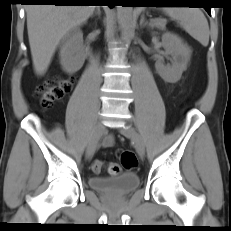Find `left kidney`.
<instances>
[{
    "label": "left kidney",
    "instance_id": "1",
    "mask_svg": "<svg viewBox=\"0 0 231 231\" xmlns=\"http://www.w3.org/2000/svg\"><path fill=\"white\" fill-rule=\"evenodd\" d=\"M162 45L166 55L172 57L171 65H164L163 59L160 58L156 61L155 68L165 82L176 83L187 69L192 51L179 36L170 32L162 35Z\"/></svg>",
    "mask_w": 231,
    "mask_h": 231
}]
</instances>
